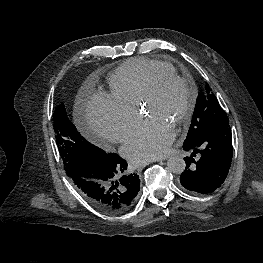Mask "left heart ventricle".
<instances>
[{"label": "left heart ventricle", "instance_id": "left-heart-ventricle-1", "mask_svg": "<svg viewBox=\"0 0 263 263\" xmlns=\"http://www.w3.org/2000/svg\"><path fill=\"white\" fill-rule=\"evenodd\" d=\"M187 104L188 92L184 86L176 81H168L156 97L145 105L144 113L149 118H159L174 127Z\"/></svg>", "mask_w": 263, "mask_h": 263}]
</instances>
